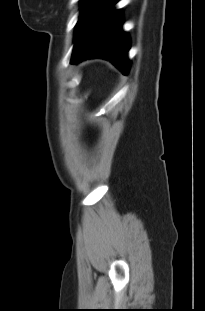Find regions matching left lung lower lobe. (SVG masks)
Here are the masks:
<instances>
[{
    "mask_svg": "<svg viewBox=\"0 0 205 311\" xmlns=\"http://www.w3.org/2000/svg\"><path fill=\"white\" fill-rule=\"evenodd\" d=\"M122 24L120 11H114L102 26L74 48L70 62L74 64L87 58H104L113 62L124 75H127L130 66L127 60L130 39L122 32Z\"/></svg>",
    "mask_w": 205,
    "mask_h": 311,
    "instance_id": "obj_1",
    "label": "left lung lower lobe"
}]
</instances>
